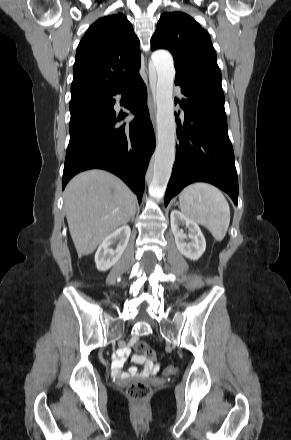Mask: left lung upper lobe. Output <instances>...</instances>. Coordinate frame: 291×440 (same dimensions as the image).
Returning <instances> with one entry per match:
<instances>
[{"mask_svg":"<svg viewBox=\"0 0 291 440\" xmlns=\"http://www.w3.org/2000/svg\"><path fill=\"white\" fill-rule=\"evenodd\" d=\"M160 48L173 55L176 83L224 97L210 36L192 17L182 12L162 14L151 39V49Z\"/></svg>","mask_w":291,"mask_h":440,"instance_id":"5c2ea615","label":"left lung upper lobe"}]
</instances>
